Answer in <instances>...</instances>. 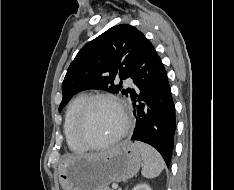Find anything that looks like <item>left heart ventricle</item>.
<instances>
[{"label": "left heart ventricle", "mask_w": 234, "mask_h": 190, "mask_svg": "<svg viewBox=\"0 0 234 190\" xmlns=\"http://www.w3.org/2000/svg\"><path fill=\"white\" fill-rule=\"evenodd\" d=\"M118 108L107 101L94 103L87 115L84 134L92 143H101L114 136L122 127Z\"/></svg>", "instance_id": "left-heart-ventricle-1"}]
</instances>
